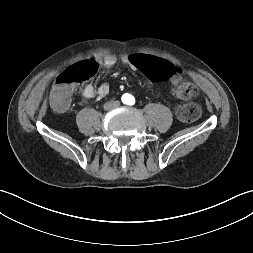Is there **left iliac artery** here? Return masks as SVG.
Instances as JSON below:
<instances>
[{"mask_svg":"<svg viewBox=\"0 0 253 253\" xmlns=\"http://www.w3.org/2000/svg\"><path fill=\"white\" fill-rule=\"evenodd\" d=\"M134 103H135L134 98H131V99H130V103H129V104H130V105H133Z\"/></svg>","mask_w":253,"mask_h":253,"instance_id":"obj_1","label":"left iliac artery"}]
</instances>
